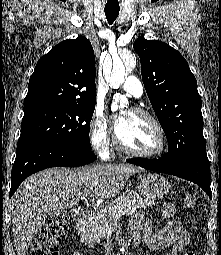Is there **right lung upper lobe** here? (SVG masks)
Returning a JSON list of instances; mask_svg holds the SVG:
<instances>
[{"label":"right lung upper lobe","instance_id":"obj_1","mask_svg":"<svg viewBox=\"0 0 221 255\" xmlns=\"http://www.w3.org/2000/svg\"><path fill=\"white\" fill-rule=\"evenodd\" d=\"M95 75L94 51L86 37L57 44L37 62L29 80L24 111L95 104Z\"/></svg>","mask_w":221,"mask_h":255}]
</instances>
